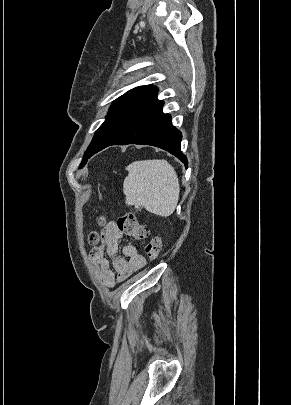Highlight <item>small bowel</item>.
Here are the masks:
<instances>
[{"instance_id":"obj_1","label":"small bowel","mask_w":291,"mask_h":405,"mask_svg":"<svg viewBox=\"0 0 291 405\" xmlns=\"http://www.w3.org/2000/svg\"><path fill=\"white\" fill-rule=\"evenodd\" d=\"M121 239V230L114 222H109L101 231V243L90 253L96 276L107 288H113L116 283L126 280L146 264L145 258L132 244L124 245L119 254ZM106 256L111 258V263Z\"/></svg>"}]
</instances>
